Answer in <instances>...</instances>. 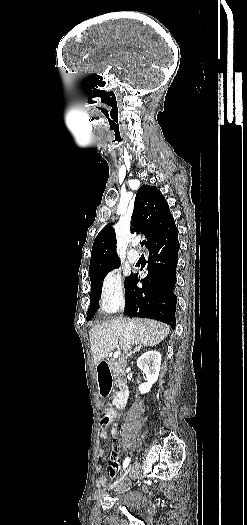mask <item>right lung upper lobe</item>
<instances>
[{
  "label": "right lung upper lobe",
  "mask_w": 247,
  "mask_h": 525,
  "mask_svg": "<svg viewBox=\"0 0 247 525\" xmlns=\"http://www.w3.org/2000/svg\"><path fill=\"white\" fill-rule=\"evenodd\" d=\"M133 221L131 232L144 234L146 243L175 224L161 191L149 185H142L137 191ZM111 225H106L93 243L89 275L111 271L119 265L116 235Z\"/></svg>",
  "instance_id": "cb5924a9"
}]
</instances>
